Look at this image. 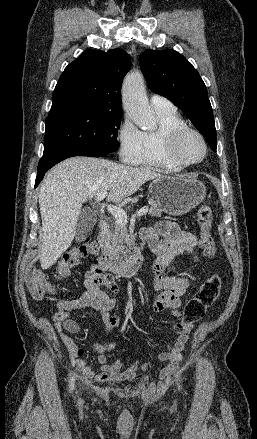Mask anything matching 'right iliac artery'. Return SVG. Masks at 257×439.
Segmentation results:
<instances>
[{
  "mask_svg": "<svg viewBox=\"0 0 257 439\" xmlns=\"http://www.w3.org/2000/svg\"><path fill=\"white\" fill-rule=\"evenodd\" d=\"M69 386H70L71 389L74 388V377L71 378V381H70V385H69Z\"/></svg>",
  "mask_w": 257,
  "mask_h": 439,
  "instance_id": "obj_1",
  "label": "right iliac artery"
}]
</instances>
